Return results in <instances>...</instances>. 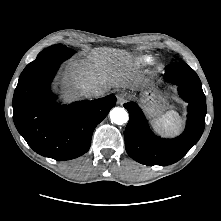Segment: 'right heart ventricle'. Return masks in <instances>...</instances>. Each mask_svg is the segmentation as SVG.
<instances>
[{"mask_svg": "<svg viewBox=\"0 0 221 221\" xmlns=\"http://www.w3.org/2000/svg\"><path fill=\"white\" fill-rule=\"evenodd\" d=\"M143 60L147 61V60H148V57L143 58Z\"/></svg>", "mask_w": 221, "mask_h": 221, "instance_id": "1", "label": "right heart ventricle"}]
</instances>
